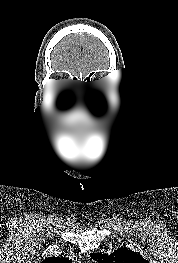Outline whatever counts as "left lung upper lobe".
<instances>
[{
	"mask_svg": "<svg viewBox=\"0 0 178 263\" xmlns=\"http://www.w3.org/2000/svg\"><path fill=\"white\" fill-rule=\"evenodd\" d=\"M90 256L98 263H149L140 253L133 252L125 247L115 250L110 255L91 253Z\"/></svg>",
	"mask_w": 178,
	"mask_h": 263,
	"instance_id": "left-lung-upper-lobe-1",
	"label": "left lung upper lobe"
}]
</instances>
